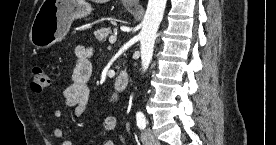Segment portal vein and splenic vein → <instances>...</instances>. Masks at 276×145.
Listing matches in <instances>:
<instances>
[{
	"label": "portal vein and splenic vein",
	"instance_id": "obj_1",
	"mask_svg": "<svg viewBox=\"0 0 276 145\" xmlns=\"http://www.w3.org/2000/svg\"><path fill=\"white\" fill-rule=\"evenodd\" d=\"M116 40H117V37H116V36H111V37L109 38V42H110L111 44H114V43L116 42Z\"/></svg>",
	"mask_w": 276,
	"mask_h": 145
}]
</instances>
